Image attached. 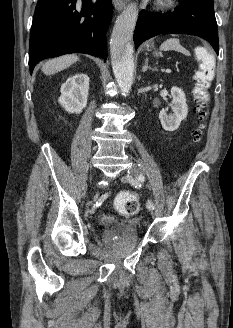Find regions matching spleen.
<instances>
[{
	"instance_id": "obj_1",
	"label": "spleen",
	"mask_w": 233,
	"mask_h": 328,
	"mask_svg": "<svg viewBox=\"0 0 233 328\" xmlns=\"http://www.w3.org/2000/svg\"><path fill=\"white\" fill-rule=\"evenodd\" d=\"M160 50L163 51L174 50L183 53L186 56H190V52L180 44V41L177 38H170L164 41L160 46Z\"/></svg>"
}]
</instances>
